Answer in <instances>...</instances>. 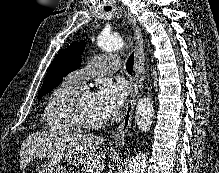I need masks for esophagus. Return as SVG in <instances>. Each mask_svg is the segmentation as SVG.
<instances>
[{
	"mask_svg": "<svg viewBox=\"0 0 219 173\" xmlns=\"http://www.w3.org/2000/svg\"><path fill=\"white\" fill-rule=\"evenodd\" d=\"M129 20L132 24L134 36H135V49H136V59H135V75L133 79V89L130 98L125 107L122 119L116 129L114 135V142L116 145H124L126 135L131 127V121L134 113V108L136 105L137 97L139 96V90L143 84L145 78V55H144V44L142 39V33L140 27L136 23V19L129 16Z\"/></svg>",
	"mask_w": 219,
	"mask_h": 173,
	"instance_id": "34e87169",
	"label": "esophagus"
}]
</instances>
